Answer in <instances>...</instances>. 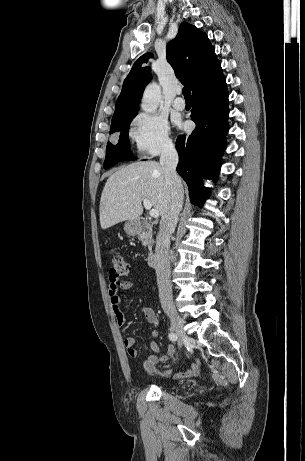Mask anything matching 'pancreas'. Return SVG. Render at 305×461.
Wrapping results in <instances>:
<instances>
[{
  "label": "pancreas",
  "instance_id": "1",
  "mask_svg": "<svg viewBox=\"0 0 305 461\" xmlns=\"http://www.w3.org/2000/svg\"><path fill=\"white\" fill-rule=\"evenodd\" d=\"M152 244H153L152 239H145L142 241V245L147 246L150 252L152 251Z\"/></svg>",
  "mask_w": 305,
  "mask_h": 461
}]
</instances>
